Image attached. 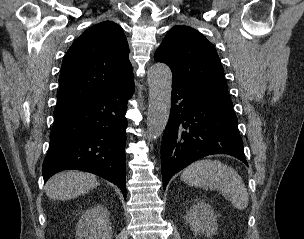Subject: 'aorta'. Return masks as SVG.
<instances>
[{
  "mask_svg": "<svg viewBox=\"0 0 304 239\" xmlns=\"http://www.w3.org/2000/svg\"><path fill=\"white\" fill-rule=\"evenodd\" d=\"M149 106L147 116L148 137L155 139L163 134L171 109L172 73L163 63L148 70Z\"/></svg>",
  "mask_w": 304,
  "mask_h": 239,
  "instance_id": "762f6f07",
  "label": "aorta"
}]
</instances>
